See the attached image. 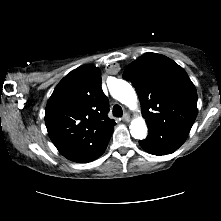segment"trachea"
<instances>
[{
    "label": "trachea",
    "instance_id": "obj_1",
    "mask_svg": "<svg viewBox=\"0 0 221 221\" xmlns=\"http://www.w3.org/2000/svg\"><path fill=\"white\" fill-rule=\"evenodd\" d=\"M113 115L115 117H121L123 115V110L119 105L113 107Z\"/></svg>",
    "mask_w": 221,
    "mask_h": 221
}]
</instances>
